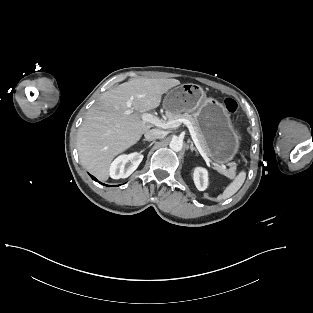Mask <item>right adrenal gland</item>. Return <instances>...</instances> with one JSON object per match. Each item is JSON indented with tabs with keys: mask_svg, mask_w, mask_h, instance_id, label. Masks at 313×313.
Wrapping results in <instances>:
<instances>
[{
	"mask_svg": "<svg viewBox=\"0 0 313 313\" xmlns=\"http://www.w3.org/2000/svg\"><path fill=\"white\" fill-rule=\"evenodd\" d=\"M146 141H150V140H147V139H143V142H146Z\"/></svg>",
	"mask_w": 313,
	"mask_h": 313,
	"instance_id": "obj_1",
	"label": "right adrenal gland"
}]
</instances>
